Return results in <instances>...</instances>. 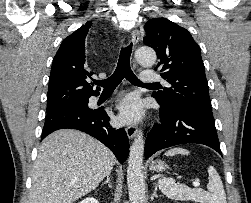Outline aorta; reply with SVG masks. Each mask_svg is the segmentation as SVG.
<instances>
[{"label":"aorta","instance_id":"obj_1","mask_svg":"<svg viewBox=\"0 0 251 203\" xmlns=\"http://www.w3.org/2000/svg\"><path fill=\"white\" fill-rule=\"evenodd\" d=\"M156 53L151 48H140L136 52V59L143 66H152L156 61ZM144 139L139 130L130 147L127 184L130 203H144L145 180L143 172Z\"/></svg>","mask_w":251,"mask_h":203}]
</instances>
